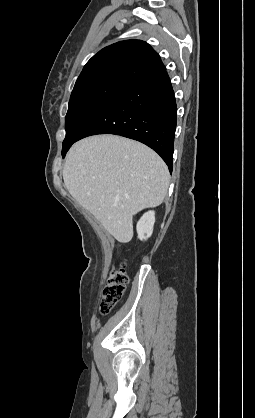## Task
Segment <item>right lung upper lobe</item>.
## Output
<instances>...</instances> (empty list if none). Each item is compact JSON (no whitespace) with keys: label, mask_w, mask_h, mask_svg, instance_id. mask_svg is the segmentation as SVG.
Returning <instances> with one entry per match:
<instances>
[{"label":"right lung upper lobe","mask_w":255,"mask_h":418,"mask_svg":"<svg viewBox=\"0 0 255 418\" xmlns=\"http://www.w3.org/2000/svg\"><path fill=\"white\" fill-rule=\"evenodd\" d=\"M164 70L159 55L146 42L120 41L105 47L87 62L74 88L94 82L129 86Z\"/></svg>","instance_id":"cb5924a9"}]
</instances>
